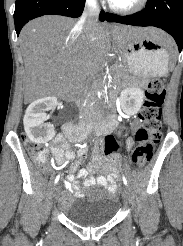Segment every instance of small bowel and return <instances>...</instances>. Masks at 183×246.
Listing matches in <instances>:
<instances>
[{"label": "small bowel", "instance_id": "small-bowel-1", "mask_svg": "<svg viewBox=\"0 0 183 246\" xmlns=\"http://www.w3.org/2000/svg\"><path fill=\"white\" fill-rule=\"evenodd\" d=\"M115 128L112 123L98 124L93 127V132L97 135H104L107 137L108 133H111ZM86 135V133H85ZM70 139V138H69ZM75 140V139H71ZM99 143V142H98ZM127 147L130 149L133 145V140L128 138L126 140ZM52 151L58 160L63 161L64 159L73 160L75 154L69 149L67 139L63 135H58L53 140ZM88 149L82 147L77 152V160L69 168L65 186L69 192L80 195L79 188L80 184L76 181V177L83 179V185L89 188L94 185L107 188L111 194H115L117 190L116 181L119 178L117 166L121 161V157H103L100 151H94L93 161L89 169H79L83 161L87 157ZM103 165H105L110 171L107 176L97 175L96 177L89 176V172H97ZM77 172V174H76ZM70 200L69 195L61 196L62 205H67Z\"/></svg>", "mask_w": 183, "mask_h": 246}]
</instances>
